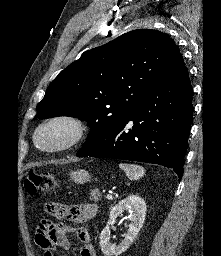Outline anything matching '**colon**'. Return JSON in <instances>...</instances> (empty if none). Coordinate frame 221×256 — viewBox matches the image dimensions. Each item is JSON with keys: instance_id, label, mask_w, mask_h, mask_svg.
Returning <instances> with one entry per match:
<instances>
[{"instance_id": "obj_1", "label": "colon", "mask_w": 221, "mask_h": 256, "mask_svg": "<svg viewBox=\"0 0 221 256\" xmlns=\"http://www.w3.org/2000/svg\"><path fill=\"white\" fill-rule=\"evenodd\" d=\"M56 187V179L47 172L30 171L25 180V189L30 195L40 191H51Z\"/></svg>"}]
</instances>
